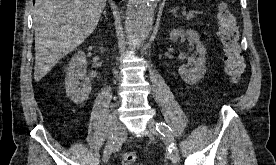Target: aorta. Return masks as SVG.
<instances>
[{
  "label": "aorta",
  "instance_id": "obj_1",
  "mask_svg": "<svg viewBox=\"0 0 276 165\" xmlns=\"http://www.w3.org/2000/svg\"><path fill=\"white\" fill-rule=\"evenodd\" d=\"M159 0H128L126 29L137 40H144L152 30L155 7Z\"/></svg>",
  "mask_w": 276,
  "mask_h": 165
}]
</instances>
